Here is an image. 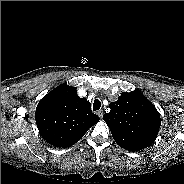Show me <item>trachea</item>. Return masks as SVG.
I'll use <instances>...</instances> for the list:
<instances>
[{"label": "trachea", "mask_w": 184, "mask_h": 184, "mask_svg": "<svg viewBox=\"0 0 184 184\" xmlns=\"http://www.w3.org/2000/svg\"><path fill=\"white\" fill-rule=\"evenodd\" d=\"M101 107V102L99 100H94V103H93V111H97L99 110Z\"/></svg>", "instance_id": "1"}]
</instances>
